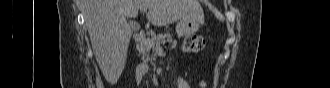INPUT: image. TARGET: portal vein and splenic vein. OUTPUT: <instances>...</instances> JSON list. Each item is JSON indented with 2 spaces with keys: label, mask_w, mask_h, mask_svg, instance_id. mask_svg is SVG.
Wrapping results in <instances>:
<instances>
[{
  "label": "portal vein and splenic vein",
  "mask_w": 330,
  "mask_h": 88,
  "mask_svg": "<svg viewBox=\"0 0 330 88\" xmlns=\"http://www.w3.org/2000/svg\"><path fill=\"white\" fill-rule=\"evenodd\" d=\"M142 11L146 12V9H142ZM156 49H157V51H159V52L162 51V48H161L160 46H157Z\"/></svg>",
  "instance_id": "obj_1"
}]
</instances>
